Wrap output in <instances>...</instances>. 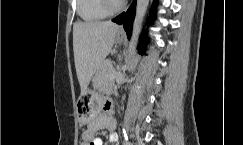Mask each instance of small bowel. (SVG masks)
<instances>
[{
    "instance_id": "small-bowel-1",
    "label": "small bowel",
    "mask_w": 243,
    "mask_h": 145,
    "mask_svg": "<svg viewBox=\"0 0 243 145\" xmlns=\"http://www.w3.org/2000/svg\"><path fill=\"white\" fill-rule=\"evenodd\" d=\"M112 104L109 100L103 103V112L95 117L81 133V145H104L102 138L95 136V133L102 129L110 131V142L118 145V135L115 132L116 121L111 115Z\"/></svg>"
}]
</instances>
